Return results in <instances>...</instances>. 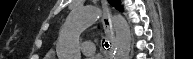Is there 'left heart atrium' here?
Instances as JSON below:
<instances>
[{"mask_svg": "<svg viewBox=\"0 0 193 59\" xmlns=\"http://www.w3.org/2000/svg\"><path fill=\"white\" fill-rule=\"evenodd\" d=\"M90 59H100L99 57H91Z\"/></svg>", "mask_w": 193, "mask_h": 59, "instance_id": "1", "label": "left heart atrium"}]
</instances>
